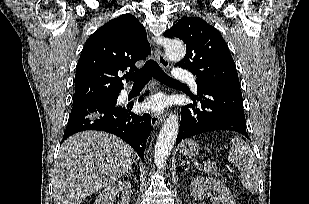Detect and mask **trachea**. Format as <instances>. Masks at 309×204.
<instances>
[{
    "label": "trachea",
    "mask_w": 309,
    "mask_h": 204,
    "mask_svg": "<svg viewBox=\"0 0 309 204\" xmlns=\"http://www.w3.org/2000/svg\"><path fill=\"white\" fill-rule=\"evenodd\" d=\"M126 77L134 85H145L152 77L164 84H180L178 80L169 77L153 59H149L140 70L127 74Z\"/></svg>",
    "instance_id": "1"
}]
</instances>
